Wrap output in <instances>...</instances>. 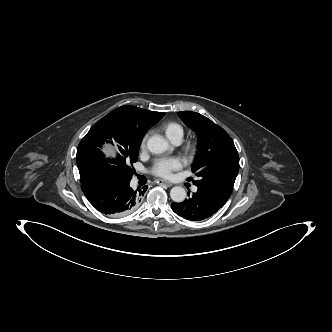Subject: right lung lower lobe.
<instances>
[{
	"instance_id": "98d812e1",
	"label": "right lung lower lobe",
	"mask_w": 332,
	"mask_h": 332,
	"mask_svg": "<svg viewBox=\"0 0 332 332\" xmlns=\"http://www.w3.org/2000/svg\"><path fill=\"white\" fill-rule=\"evenodd\" d=\"M131 178H118L98 174L81 182V188L89 202L101 213L112 217L130 214L140 204L147 186L133 190Z\"/></svg>"
}]
</instances>
